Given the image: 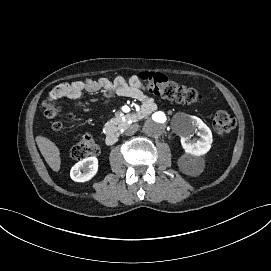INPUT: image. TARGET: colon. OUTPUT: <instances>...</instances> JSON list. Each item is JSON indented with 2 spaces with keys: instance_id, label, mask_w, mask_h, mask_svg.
<instances>
[{
  "instance_id": "obj_1",
  "label": "colon",
  "mask_w": 271,
  "mask_h": 271,
  "mask_svg": "<svg viewBox=\"0 0 271 271\" xmlns=\"http://www.w3.org/2000/svg\"><path fill=\"white\" fill-rule=\"evenodd\" d=\"M138 78L149 92L168 100L193 104L198 103L202 98L197 90L171 81L166 76L159 73L141 72L138 75ZM43 107L45 116L54 120L52 125L53 129L56 131L62 130L63 124L57 119L60 112L57 104L48 97L44 100ZM235 126V118L227 111L219 110L215 113L213 127L217 135L224 136L230 133ZM70 154L73 159L82 160L87 157L98 155L99 146L91 135L86 134L71 148Z\"/></svg>"
}]
</instances>
